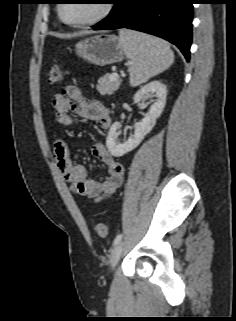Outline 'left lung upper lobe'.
<instances>
[{"instance_id": "left-lung-upper-lobe-1", "label": "left lung upper lobe", "mask_w": 236, "mask_h": 321, "mask_svg": "<svg viewBox=\"0 0 236 321\" xmlns=\"http://www.w3.org/2000/svg\"><path fill=\"white\" fill-rule=\"evenodd\" d=\"M111 1V3H113L115 0H110ZM50 3H52V2H50Z\"/></svg>"}]
</instances>
